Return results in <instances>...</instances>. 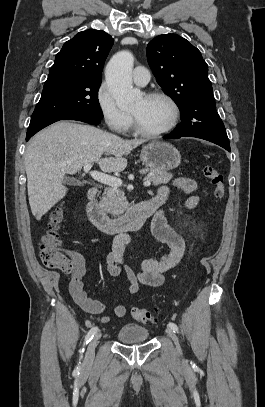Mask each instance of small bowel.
<instances>
[{
	"mask_svg": "<svg viewBox=\"0 0 265 407\" xmlns=\"http://www.w3.org/2000/svg\"><path fill=\"white\" fill-rule=\"evenodd\" d=\"M173 185L185 193L192 194L197 183L194 179L187 177H177ZM168 194L167 187H161L156 198L165 201ZM198 198L191 196L188 199V207L193 208L197 205ZM151 229L154 237L168 246L167 252L158 258L145 259L138 271L123 265V253L125 250L126 238H119L113 249L106 258L107 270L113 277L126 276L130 282L127 292V298L135 294L141 285L158 287L163 284L164 274L177 266L183 258L185 252V241L183 237L170 224L163 211H158L151 223ZM86 273L85 259L81 254H74V267L70 272L68 280L69 292L75 303L85 312L95 315L101 323H107L110 317L102 315L105 311V304L90 298L84 291L83 277ZM126 314V307L122 304L114 307V316L122 318Z\"/></svg>",
	"mask_w": 265,
	"mask_h": 407,
	"instance_id": "c3829d8e",
	"label": "small bowel"
}]
</instances>
